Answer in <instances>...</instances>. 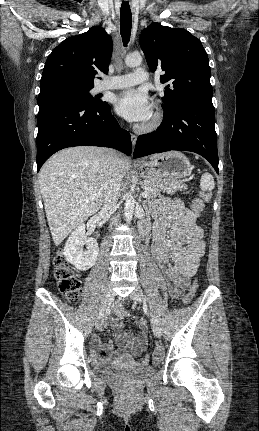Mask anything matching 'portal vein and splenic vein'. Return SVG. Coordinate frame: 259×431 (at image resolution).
Wrapping results in <instances>:
<instances>
[{"mask_svg":"<svg viewBox=\"0 0 259 431\" xmlns=\"http://www.w3.org/2000/svg\"><path fill=\"white\" fill-rule=\"evenodd\" d=\"M142 196H143V197H147V196H148V191H147V190H145V191L142 193Z\"/></svg>","mask_w":259,"mask_h":431,"instance_id":"obj_1","label":"portal vein and splenic vein"}]
</instances>
